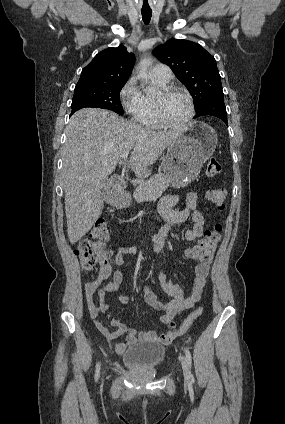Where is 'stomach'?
I'll use <instances>...</instances> for the list:
<instances>
[{
	"label": "stomach",
	"instance_id": "0dacf381",
	"mask_svg": "<svg viewBox=\"0 0 285 424\" xmlns=\"http://www.w3.org/2000/svg\"><path fill=\"white\" fill-rule=\"evenodd\" d=\"M217 134L208 124L195 121L188 125L168 147L163 159L165 178L176 187H185L200 173L202 165L215 151Z\"/></svg>",
	"mask_w": 285,
	"mask_h": 424
}]
</instances>
